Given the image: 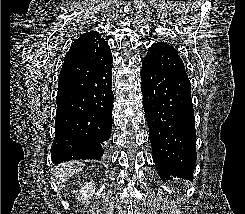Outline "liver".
<instances>
[{"instance_id": "6515ba94", "label": "liver", "mask_w": 245, "mask_h": 214, "mask_svg": "<svg viewBox=\"0 0 245 214\" xmlns=\"http://www.w3.org/2000/svg\"><path fill=\"white\" fill-rule=\"evenodd\" d=\"M84 165V163L73 161L63 163L59 167H57L55 171V178L58 186L60 188L65 187L68 179L75 173L80 172L83 169Z\"/></svg>"}]
</instances>
